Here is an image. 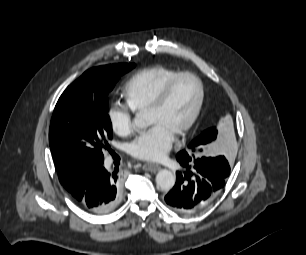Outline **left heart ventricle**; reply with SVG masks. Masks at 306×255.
Returning a JSON list of instances; mask_svg holds the SVG:
<instances>
[{
    "label": "left heart ventricle",
    "instance_id": "1",
    "mask_svg": "<svg viewBox=\"0 0 306 255\" xmlns=\"http://www.w3.org/2000/svg\"><path fill=\"white\" fill-rule=\"evenodd\" d=\"M199 85L191 77L181 78L164 104L147 113L150 124H160L173 135L189 120L199 99Z\"/></svg>",
    "mask_w": 306,
    "mask_h": 255
}]
</instances>
